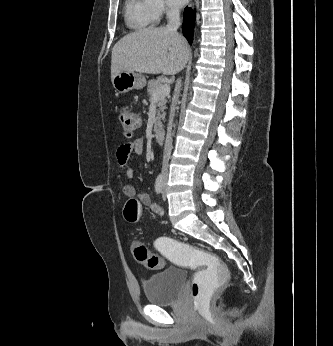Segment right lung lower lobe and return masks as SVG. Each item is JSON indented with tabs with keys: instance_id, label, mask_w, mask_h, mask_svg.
Wrapping results in <instances>:
<instances>
[{
	"instance_id": "98d812e1",
	"label": "right lung lower lobe",
	"mask_w": 333,
	"mask_h": 346,
	"mask_svg": "<svg viewBox=\"0 0 333 346\" xmlns=\"http://www.w3.org/2000/svg\"><path fill=\"white\" fill-rule=\"evenodd\" d=\"M194 21H195V12L192 11L191 8L186 7L184 10V20H183L182 31H183L184 37L188 40L190 44L193 41Z\"/></svg>"
}]
</instances>
